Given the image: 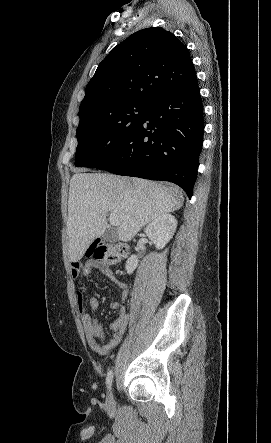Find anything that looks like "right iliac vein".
<instances>
[{"label": "right iliac vein", "mask_w": 271, "mask_h": 443, "mask_svg": "<svg viewBox=\"0 0 271 443\" xmlns=\"http://www.w3.org/2000/svg\"><path fill=\"white\" fill-rule=\"evenodd\" d=\"M106 407L108 409L114 408V397H113L111 390L108 392L107 397H106Z\"/></svg>", "instance_id": "63e3f726"}]
</instances>
